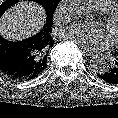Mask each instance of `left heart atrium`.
<instances>
[{
	"label": "left heart atrium",
	"mask_w": 118,
	"mask_h": 118,
	"mask_svg": "<svg viewBox=\"0 0 118 118\" xmlns=\"http://www.w3.org/2000/svg\"><path fill=\"white\" fill-rule=\"evenodd\" d=\"M64 36L79 47L96 51L109 47L113 37L109 29L102 25L77 23L64 30Z\"/></svg>",
	"instance_id": "1"
}]
</instances>
